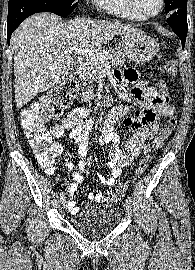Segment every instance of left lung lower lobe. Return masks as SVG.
<instances>
[{"mask_svg":"<svg viewBox=\"0 0 195 270\" xmlns=\"http://www.w3.org/2000/svg\"><path fill=\"white\" fill-rule=\"evenodd\" d=\"M167 23L170 25L173 32L181 39L182 48H184L188 30L187 9H177L170 12Z\"/></svg>","mask_w":195,"mask_h":270,"instance_id":"left-lung-lower-lobe-1","label":"left lung lower lobe"}]
</instances>
